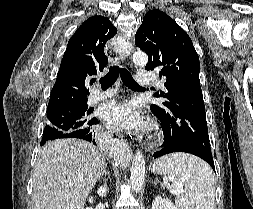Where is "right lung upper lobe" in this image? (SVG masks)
<instances>
[{
	"label": "right lung upper lobe",
	"mask_w": 253,
	"mask_h": 209,
	"mask_svg": "<svg viewBox=\"0 0 253 209\" xmlns=\"http://www.w3.org/2000/svg\"><path fill=\"white\" fill-rule=\"evenodd\" d=\"M116 33L117 29L104 16L90 17L77 29L61 61L47 111L87 103V81L103 72L108 63L104 45Z\"/></svg>",
	"instance_id": "1"
}]
</instances>
